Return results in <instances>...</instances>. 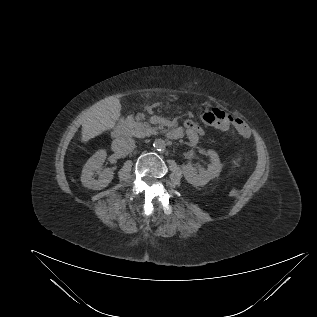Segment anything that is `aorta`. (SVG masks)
I'll return each mask as SVG.
<instances>
[{"label":"aorta","instance_id":"aorta-1","mask_svg":"<svg viewBox=\"0 0 317 317\" xmlns=\"http://www.w3.org/2000/svg\"><path fill=\"white\" fill-rule=\"evenodd\" d=\"M153 146L157 150H163L166 146L165 141L163 139H155Z\"/></svg>","mask_w":317,"mask_h":317}]
</instances>
